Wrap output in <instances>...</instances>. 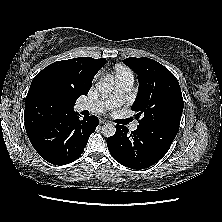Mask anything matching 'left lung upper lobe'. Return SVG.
I'll list each match as a JSON object with an SVG mask.
<instances>
[{
    "mask_svg": "<svg viewBox=\"0 0 222 222\" xmlns=\"http://www.w3.org/2000/svg\"><path fill=\"white\" fill-rule=\"evenodd\" d=\"M124 63L138 76V94L131 108L140 118L139 125L179 127L184 101L176 77L153 59L129 57Z\"/></svg>",
    "mask_w": 222,
    "mask_h": 222,
    "instance_id": "1",
    "label": "left lung upper lobe"
}]
</instances>
